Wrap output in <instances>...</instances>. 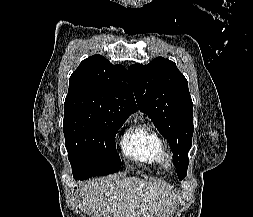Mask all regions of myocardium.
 Returning a JSON list of instances; mask_svg holds the SVG:
<instances>
[{"label": "myocardium", "mask_w": 253, "mask_h": 217, "mask_svg": "<svg viewBox=\"0 0 253 217\" xmlns=\"http://www.w3.org/2000/svg\"><path fill=\"white\" fill-rule=\"evenodd\" d=\"M161 162L165 169H170L173 166L172 154L169 150L163 148L161 152Z\"/></svg>", "instance_id": "obj_1"}]
</instances>
